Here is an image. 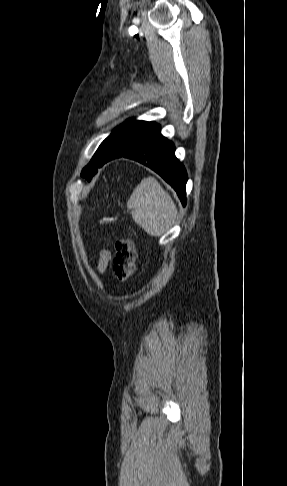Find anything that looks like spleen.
I'll return each mask as SVG.
<instances>
[{
    "instance_id": "3e777b00",
    "label": "spleen",
    "mask_w": 287,
    "mask_h": 486,
    "mask_svg": "<svg viewBox=\"0 0 287 486\" xmlns=\"http://www.w3.org/2000/svg\"><path fill=\"white\" fill-rule=\"evenodd\" d=\"M133 220L149 235L160 237L173 225L178 215L171 196L154 177L144 178L127 202Z\"/></svg>"
}]
</instances>
